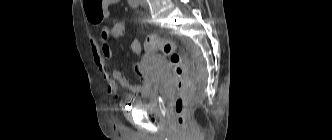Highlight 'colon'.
<instances>
[{
	"mask_svg": "<svg viewBox=\"0 0 332 140\" xmlns=\"http://www.w3.org/2000/svg\"><path fill=\"white\" fill-rule=\"evenodd\" d=\"M84 8L88 19L100 22L104 16L105 0H83ZM126 23L116 21L105 25L102 32L117 39L125 35ZM143 50L146 52H160L170 59V64L176 76V98L174 102V112L178 123L184 125L195 104L193 95V76L191 63L184 53L177 52L175 44L166 38L151 35L144 42Z\"/></svg>",
	"mask_w": 332,
	"mask_h": 140,
	"instance_id": "1",
	"label": "colon"
}]
</instances>
